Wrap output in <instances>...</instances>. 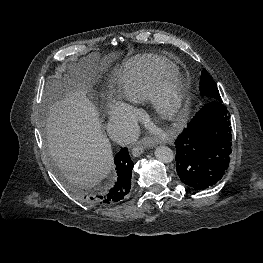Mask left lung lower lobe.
Listing matches in <instances>:
<instances>
[{
	"instance_id": "obj_1",
	"label": "left lung lower lobe",
	"mask_w": 263,
	"mask_h": 263,
	"mask_svg": "<svg viewBox=\"0 0 263 263\" xmlns=\"http://www.w3.org/2000/svg\"><path fill=\"white\" fill-rule=\"evenodd\" d=\"M174 144L180 180L196 190L215 185L229 167L232 151L230 116L222 101L201 108Z\"/></svg>"
}]
</instances>
